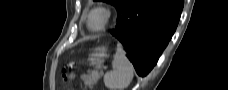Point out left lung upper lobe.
Returning a JSON list of instances; mask_svg holds the SVG:
<instances>
[{
	"instance_id": "obj_1",
	"label": "left lung upper lobe",
	"mask_w": 228,
	"mask_h": 90,
	"mask_svg": "<svg viewBox=\"0 0 228 90\" xmlns=\"http://www.w3.org/2000/svg\"><path fill=\"white\" fill-rule=\"evenodd\" d=\"M105 2L113 4L118 12V15L122 12V10L126 7L130 0H103Z\"/></svg>"
}]
</instances>
